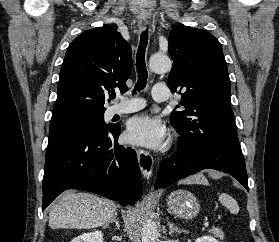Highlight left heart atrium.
<instances>
[{"label": "left heart atrium", "instance_id": "left-heart-atrium-1", "mask_svg": "<svg viewBox=\"0 0 279 242\" xmlns=\"http://www.w3.org/2000/svg\"><path fill=\"white\" fill-rule=\"evenodd\" d=\"M126 139L134 145L159 148L165 140V130L159 120L148 114H141L129 120Z\"/></svg>", "mask_w": 279, "mask_h": 242}]
</instances>
